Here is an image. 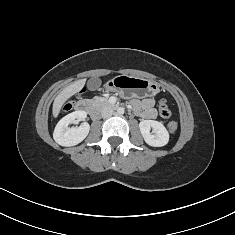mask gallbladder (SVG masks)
I'll return each mask as SVG.
<instances>
[{
	"label": "gallbladder",
	"mask_w": 235,
	"mask_h": 235,
	"mask_svg": "<svg viewBox=\"0 0 235 235\" xmlns=\"http://www.w3.org/2000/svg\"><path fill=\"white\" fill-rule=\"evenodd\" d=\"M100 85H101V80L99 78H92L87 83L89 90H96L100 87Z\"/></svg>",
	"instance_id": "1"
}]
</instances>
